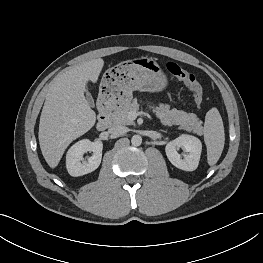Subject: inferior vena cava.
I'll use <instances>...</instances> for the list:
<instances>
[{"mask_svg": "<svg viewBox=\"0 0 263 263\" xmlns=\"http://www.w3.org/2000/svg\"><path fill=\"white\" fill-rule=\"evenodd\" d=\"M128 131V128L125 126L114 125L108 129V132L113 135H121Z\"/></svg>", "mask_w": 263, "mask_h": 263, "instance_id": "1", "label": "inferior vena cava"}]
</instances>
